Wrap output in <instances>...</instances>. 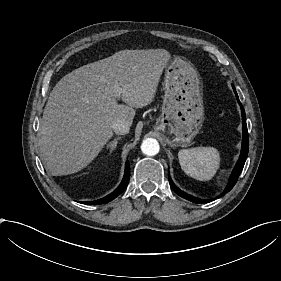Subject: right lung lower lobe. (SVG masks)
Listing matches in <instances>:
<instances>
[{
    "label": "right lung lower lobe",
    "instance_id": "obj_1",
    "mask_svg": "<svg viewBox=\"0 0 281 281\" xmlns=\"http://www.w3.org/2000/svg\"><path fill=\"white\" fill-rule=\"evenodd\" d=\"M129 178H130V165H129V162L127 161L126 165H125V174H124L123 180L115 191H113L111 194L107 195L106 197H104L102 199L91 201V202H80V203L89 204V205H100V204H105V203L112 201L125 190V188L128 185Z\"/></svg>",
    "mask_w": 281,
    "mask_h": 281
}]
</instances>
